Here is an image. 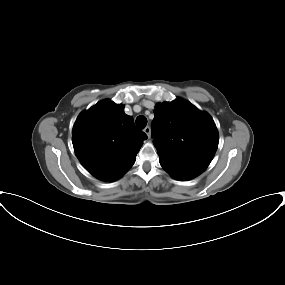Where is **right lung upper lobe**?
Here are the masks:
<instances>
[{
	"instance_id": "cb5924a9",
	"label": "right lung upper lobe",
	"mask_w": 285,
	"mask_h": 285,
	"mask_svg": "<svg viewBox=\"0 0 285 285\" xmlns=\"http://www.w3.org/2000/svg\"><path fill=\"white\" fill-rule=\"evenodd\" d=\"M73 147L84 168L102 181H114L134 164L144 132L134 125L124 106L103 100L82 112L72 131Z\"/></svg>"
}]
</instances>
